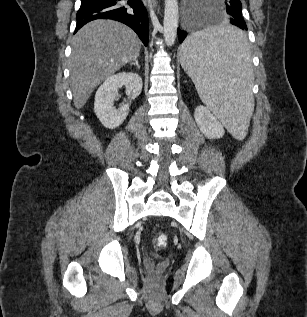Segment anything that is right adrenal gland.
<instances>
[{
    "label": "right adrenal gland",
    "mask_w": 307,
    "mask_h": 317,
    "mask_svg": "<svg viewBox=\"0 0 307 317\" xmlns=\"http://www.w3.org/2000/svg\"><path fill=\"white\" fill-rule=\"evenodd\" d=\"M131 66L135 65L138 69H140V65L138 63L137 57L130 63Z\"/></svg>",
    "instance_id": "2a0ac1e0"
}]
</instances>
